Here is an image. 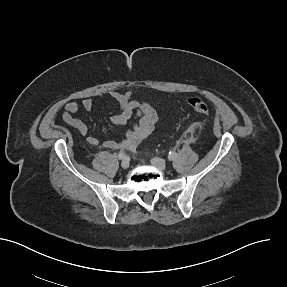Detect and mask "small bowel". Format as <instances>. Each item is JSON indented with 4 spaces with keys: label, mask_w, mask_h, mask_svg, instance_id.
Here are the masks:
<instances>
[{
    "label": "small bowel",
    "mask_w": 287,
    "mask_h": 287,
    "mask_svg": "<svg viewBox=\"0 0 287 287\" xmlns=\"http://www.w3.org/2000/svg\"><path fill=\"white\" fill-rule=\"evenodd\" d=\"M110 96L117 102L118 111L111 118L114 127H120L128 123L134 116L139 119L138 125L130 129L125 136L120 139H107L101 141L100 138L88 135L87 125L76 118L75 115L80 108L91 111L93 108V100L85 98L81 104L70 101L65 105V111L62 114V120L70 127L75 129L79 135L86 138L91 146L101 145L111 150H130L146 139L154 130L158 120V114L155 108L148 102L138 101L132 92H110Z\"/></svg>",
    "instance_id": "small-bowel-1"
}]
</instances>
